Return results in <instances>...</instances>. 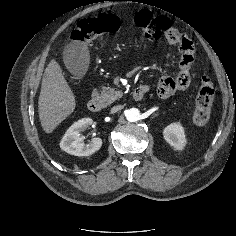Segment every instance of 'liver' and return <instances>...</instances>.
<instances>
[{
    "label": "liver",
    "mask_w": 236,
    "mask_h": 236,
    "mask_svg": "<svg viewBox=\"0 0 236 236\" xmlns=\"http://www.w3.org/2000/svg\"><path fill=\"white\" fill-rule=\"evenodd\" d=\"M75 107V96L59 63L52 59L44 71L38 100L39 119L43 130L51 133L73 113Z\"/></svg>",
    "instance_id": "1"
}]
</instances>
